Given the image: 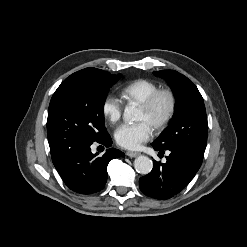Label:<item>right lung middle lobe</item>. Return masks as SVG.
Returning a JSON list of instances; mask_svg holds the SVG:
<instances>
[{
	"mask_svg": "<svg viewBox=\"0 0 247 247\" xmlns=\"http://www.w3.org/2000/svg\"><path fill=\"white\" fill-rule=\"evenodd\" d=\"M96 68L70 75L50 101L47 119L51 154L77 143H92L107 134L103 107L109 88L119 79Z\"/></svg>",
	"mask_w": 247,
	"mask_h": 247,
	"instance_id": "obj_1",
	"label": "right lung middle lobe"
}]
</instances>
